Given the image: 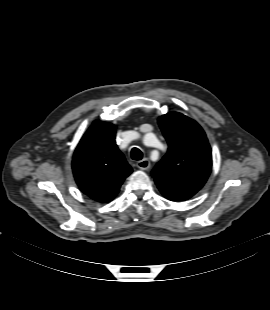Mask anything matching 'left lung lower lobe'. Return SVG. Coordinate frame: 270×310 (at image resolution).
Listing matches in <instances>:
<instances>
[{
  "instance_id": "left-lung-lower-lobe-1",
  "label": "left lung lower lobe",
  "mask_w": 270,
  "mask_h": 310,
  "mask_svg": "<svg viewBox=\"0 0 270 310\" xmlns=\"http://www.w3.org/2000/svg\"><path fill=\"white\" fill-rule=\"evenodd\" d=\"M161 193L171 201H184L191 198L193 195L197 193V191L186 190V189H176L172 187H168L165 185L157 184Z\"/></svg>"
}]
</instances>
